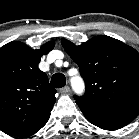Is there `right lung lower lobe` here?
<instances>
[{
	"instance_id": "98d812e1",
	"label": "right lung lower lobe",
	"mask_w": 139,
	"mask_h": 139,
	"mask_svg": "<svg viewBox=\"0 0 139 139\" xmlns=\"http://www.w3.org/2000/svg\"><path fill=\"white\" fill-rule=\"evenodd\" d=\"M47 120H48V118L45 121H43L41 124H39L36 127L24 132L23 134H21L18 137H28V136L36 133L38 130H40L46 124Z\"/></svg>"
}]
</instances>
